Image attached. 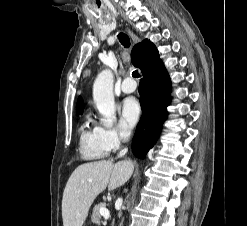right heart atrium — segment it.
Instances as JSON below:
<instances>
[{
  "label": "right heart atrium",
  "instance_id": "obj_1",
  "mask_svg": "<svg viewBox=\"0 0 247 226\" xmlns=\"http://www.w3.org/2000/svg\"><path fill=\"white\" fill-rule=\"evenodd\" d=\"M100 132L101 138L109 150L116 148L121 140L128 137V130L121 128L100 127Z\"/></svg>",
  "mask_w": 247,
  "mask_h": 226
}]
</instances>
